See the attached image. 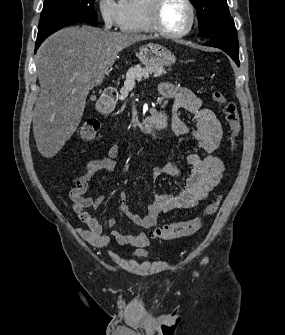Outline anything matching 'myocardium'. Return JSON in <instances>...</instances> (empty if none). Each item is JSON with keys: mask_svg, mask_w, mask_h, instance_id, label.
I'll use <instances>...</instances> for the list:
<instances>
[{"mask_svg": "<svg viewBox=\"0 0 285 335\" xmlns=\"http://www.w3.org/2000/svg\"><path fill=\"white\" fill-rule=\"evenodd\" d=\"M171 1H152V23L154 31L167 38H179L187 34L193 27L195 14L190 1H179L183 3L189 10L190 17L187 25L177 31L169 30L163 22V10L167 3Z\"/></svg>", "mask_w": 285, "mask_h": 335, "instance_id": "myocardium-1", "label": "myocardium"}]
</instances>
